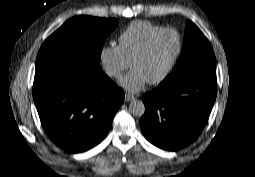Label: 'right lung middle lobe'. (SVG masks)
Wrapping results in <instances>:
<instances>
[{
  "label": "right lung middle lobe",
  "instance_id": "right-lung-middle-lobe-1",
  "mask_svg": "<svg viewBox=\"0 0 255 177\" xmlns=\"http://www.w3.org/2000/svg\"><path fill=\"white\" fill-rule=\"evenodd\" d=\"M117 24L116 19L71 18L45 40L36 59V70L53 65L102 70L99 62L103 42Z\"/></svg>",
  "mask_w": 255,
  "mask_h": 177
}]
</instances>
